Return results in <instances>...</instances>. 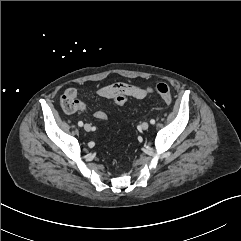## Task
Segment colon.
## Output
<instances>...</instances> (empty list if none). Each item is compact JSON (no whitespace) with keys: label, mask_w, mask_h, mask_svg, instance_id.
Here are the masks:
<instances>
[{"label":"colon","mask_w":241,"mask_h":241,"mask_svg":"<svg viewBox=\"0 0 241 241\" xmlns=\"http://www.w3.org/2000/svg\"><path fill=\"white\" fill-rule=\"evenodd\" d=\"M124 91H125L124 88L114 87L109 92L110 94L114 95V102L118 106L124 105L127 101V96L124 93ZM156 92L165 103H167V104L171 103L172 94H171V90L167 84H165V83L157 84ZM99 119L104 121L107 119V115L105 113H103L100 115Z\"/></svg>","instance_id":"colon-1"}]
</instances>
